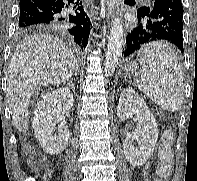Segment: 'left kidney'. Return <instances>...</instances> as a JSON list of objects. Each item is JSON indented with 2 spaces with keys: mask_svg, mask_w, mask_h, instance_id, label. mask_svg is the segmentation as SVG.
Listing matches in <instances>:
<instances>
[{
  "mask_svg": "<svg viewBox=\"0 0 197 181\" xmlns=\"http://www.w3.org/2000/svg\"><path fill=\"white\" fill-rule=\"evenodd\" d=\"M117 115L121 120H126L135 115L137 133L124 140L123 149L130 164L141 166L153 154L158 139L156 120L145 101L131 88L121 93ZM134 141L138 142V148H135Z\"/></svg>",
  "mask_w": 197,
  "mask_h": 181,
  "instance_id": "1",
  "label": "left kidney"
}]
</instances>
